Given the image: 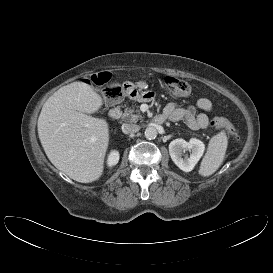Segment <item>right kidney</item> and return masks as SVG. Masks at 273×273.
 Segmentation results:
<instances>
[{"label":"right kidney","mask_w":273,"mask_h":273,"mask_svg":"<svg viewBox=\"0 0 273 273\" xmlns=\"http://www.w3.org/2000/svg\"><path fill=\"white\" fill-rule=\"evenodd\" d=\"M108 166L112 167L115 166L119 161V152L118 151H112L110 155L108 156Z\"/></svg>","instance_id":"1"}]
</instances>
